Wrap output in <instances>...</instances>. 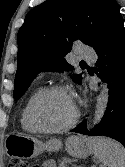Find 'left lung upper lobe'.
<instances>
[{"label":"left lung upper lobe","instance_id":"left-lung-upper-lobe-1","mask_svg":"<svg viewBox=\"0 0 125 167\" xmlns=\"http://www.w3.org/2000/svg\"><path fill=\"white\" fill-rule=\"evenodd\" d=\"M115 0H46L25 17L18 32L14 99L25 93L40 71L72 70L65 60L72 42L95 47L120 17ZM75 74L74 81H81Z\"/></svg>","mask_w":125,"mask_h":167}]
</instances>
